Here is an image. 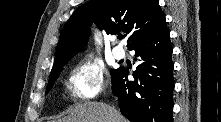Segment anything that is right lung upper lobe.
Segmentation results:
<instances>
[{
    "mask_svg": "<svg viewBox=\"0 0 221 122\" xmlns=\"http://www.w3.org/2000/svg\"><path fill=\"white\" fill-rule=\"evenodd\" d=\"M94 20L106 34L129 35L128 49L150 35L165 15L158 0H92L79 7L62 29L51 73L63 66L80 50L89 36V22Z\"/></svg>",
    "mask_w": 221,
    "mask_h": 122,
    "instance_id": "1",
    "label": "right lung upper lobe"
}]
</instances>
